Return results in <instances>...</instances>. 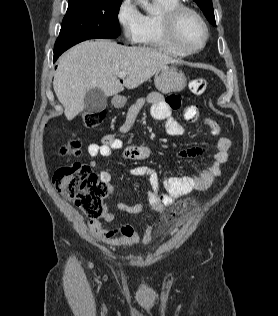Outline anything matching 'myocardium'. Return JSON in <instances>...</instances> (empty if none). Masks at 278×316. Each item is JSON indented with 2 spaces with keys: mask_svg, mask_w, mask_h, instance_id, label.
<instances>
[{
  "mask_svg": "<svg viewBox=\"0 0 278 316\" xmlns=\"http://www.w3.org/2000/svg\"><path fill=\"white\" fill-rule=\"evenodd\" d=\"M187 14L192 15L194 18H196L204 30L203 41L201 45L195 48L189 47L183 41L181 37V33H180L181 20ZM164 23H165V29L171 41L174 43L176 47H178L181 51L185 52L186 54H196L200 52L202 49H204V47L206 46L209 40L210 31H209L207 22L205 21L204 17L196 9L190 6L181 4L175 7L174 9L170 10L165 15Z\"/></svg>",
  "mask_w": 278,
  "mask_h": 316,
  "instance_id": "f54148a6",
  "label": "myocardium"
}]
</instances>
